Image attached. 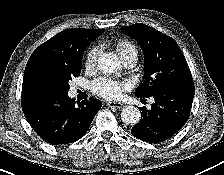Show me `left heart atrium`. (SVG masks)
<instances>
[{"mask_svg": "<svg viewBox=\"0 0 224 175\" xmlns=\"http://www.w3.org/2000/svg\"><path fill=\"white\" fill-rule=\"evenodd\" d=\"M126 88V83L108 78L97 79L92 84L93 92L106 99L119 98Z\"/></svg>", "mask_w": 224, "mask_h": 175, "instance_id": "39dd6f15", "label": "left heart atrium"}]
</instances>
